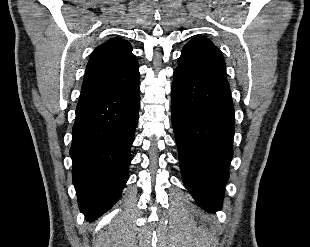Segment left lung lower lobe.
I'll return each instance as SVG.
<instances>
[{
  "label": "left lung lower lobe",
  "instance_id": "0a47b994",
  "mask_svg": "<svg viewBox=\"0 0 310 247\" xmlns=\"http://www.w3.org/2000/svg\"><path fill=\"white\" fill-rule=\"evenodd\" d=\"M172 125L186 188L208 211L219 210L229 177L234 107L229 85L175 69Z\"/></svg>",
  "mask_w": 310,
  "mask_h": 247
}]
</instances>
